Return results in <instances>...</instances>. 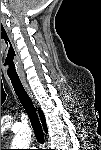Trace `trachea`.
I'll return each instance as SVG.
<instances>
[{
  "label": "trachea",
  "instance_id": "1",
  "mask_svg": "<svg viewBox=\"0 0 101 150\" xmlns=\"http://www.w3.org/2000/svg\"><path fill=\"white\" fill-rule=\"evenodd\" d=\"M10 79L13 88L15 90V93L18 96V99L20 100L30 119L37 142L43 144L44 143L43 129L31 99L29 98L27 92L25 91L20 79L17 78H10Z\"/></svg>",
  "mask_w": 101,
  "mask_h": 150
}]
</instances>
